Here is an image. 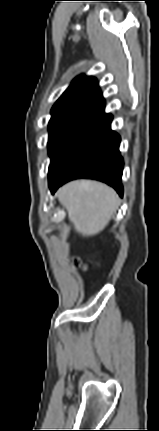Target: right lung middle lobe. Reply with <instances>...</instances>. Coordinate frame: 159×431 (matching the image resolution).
Masks as SVG:
<instances>
[{
	"mask_svg": "<svg viewBox=\"0 0 159 431\" xmlns=\"http://www.w3.org/2000/svg\"><path fill=\"white\" fill-rule=\"evenodd\" d=\"M86 124L85 121L70 118H51L49 121L48 150L52 157L64 141Z\"/></svg>",
	"mask_w": 159,
	"mask_h": 431,
	"instance_id": "1",
	"label": "right lung middle lobe"
}]
</instances>
